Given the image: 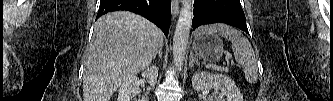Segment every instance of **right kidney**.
Wrapping results in <instances>:
<instances>
[{
	"label": "right kidney",
	"mask_w": 333,
	"mask_h": 101,
	"mask_svg": "<svg viewBox=\"0 0 333 101\" xmlns=\"http://www.w3.org/2000/svg\"><path fill=\"white\" fill-rule=\"evenodd\" d=\"M151 86H154L158 77V67L151 66L142 73ZM140 81L137 77L131 76L123 81L118 91V101H131V97L139 94Z\"/></svg>",
	"instance_id": "ca27d5eb"
}]
</instances>
